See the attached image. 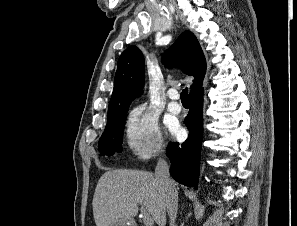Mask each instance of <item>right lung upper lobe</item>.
Returning a JSON list of instances; mask_svg holds the SVG:
<instances>
[{
	"label": "right lung upper lobe",
	"instance_id": "cb5924a9",
	"mask_svg": "<svg viewBox=\"0 0 297 226\" xmlns=\"http://www.w3.org/2000/svg\"><path fill=\"white\" fill-rule=\"evenodd\" d=\"M163 63L167 67L177 64L184 73L194 76L191 92L201 86L206 72V60L199 42L192 32L185 31L180 35L165 53ZM144 80L143 54L136 46H130L118 60L109 109L129 106L131 101L142 92Z\"/></svg>",
	"mask_w": 297,
	"mask_h": 226
}]
</instances>
